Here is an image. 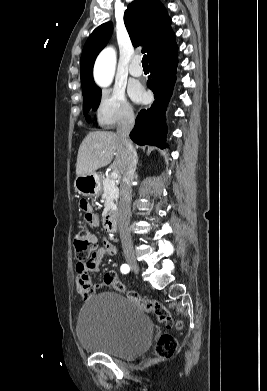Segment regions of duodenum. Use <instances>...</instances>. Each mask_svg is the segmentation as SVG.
<instances>
[{
    "label": "duodenum",
    "instance_id": "obj_1",
    "mask_svg": "<svg viewBox=\"0 0 267 391\" xmlns=\"http://www.w3.org/2000/svg\"><path fill=\"white\" fill-rule=\"evenodd\" d=\"M117 211L111 209L105 213L103 217V227L107 232H114L116 230Z\"/></svg>",
    "mask_w": 267,
    "mask_h": 391
}]
</instances>
